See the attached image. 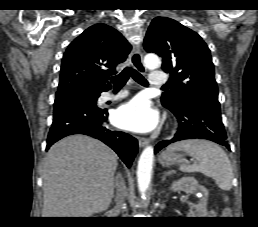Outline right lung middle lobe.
Returning a JSON list of instances; mask_svg holds the SVG:
<instances>
[{"mask_svg": "<svg viewBox=\"0 0 258 227\" xmlns=\"http://www.w3.org/2000/svg\"><path fill=\"white\" fill-rule=\"evenodd\" d=\"M99 95H100L99 92H96L93 90H88L83 88H73V89L57 92L55 96V102H58L60 100H64L70 97H80L83 100L87 101L89 104L96 106V101Z\"/></svg>", "mask_w": 258, "mask_h": 227, "instance_id": "obj_1", "label": "right lung middle lobe"}]
</instances>
